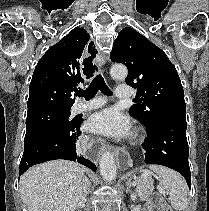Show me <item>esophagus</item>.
I'll use <instances>...</instances> for the list:
<instances>
[{
	"mask_svg": "<svg viewBox=\"0 0 209 211\" xmlns=\"http://www.w3.org/2000/svg\"><path fill=\"white\" fill-rule=\"evenodd\" d=\"M89 52H85V59H82L81 69L83 79H94V75L97 74V67H101L105 64L107 57L102 53H98L96 45H88ZM97 65V67H96ZM79 149H84L86 159H89V163H96L97 156H100V152H115V147L109 144H90V140H79ZM129 151H117L115 158L120 171H125V167H129L130 159Z\"/></svg>",
	"mask_w": 209,
	"mask_h": 211,
	"instance_id": "obj_1",
	"label": "esophagus"
}]
</instances>
